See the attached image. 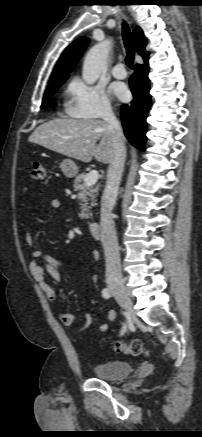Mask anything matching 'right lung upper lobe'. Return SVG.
Segmentation results:
<instances>
[{
    "label": "right lung upper lobe",
    "mask_w": 202,
    "mask_h": 437,
    "mask_svg": "<svg viewBox=\"0 0 202 437\" xmlns=\"http://www.w3.org/2000/svg\"><path fill=\"white\" fill-rule=\"evenodd\" d=\"M133 37L135 49L143 57L144 60L147 59L149 53L145 50L147 40L144 37L143 31L140 28H138V30H134ZM88 42L89 40L87 37H81L75 40L66 48L55 66V69L50 78V84L68 78V74L72 71L76 63L79 61Z\"/></svg>",
    "instance_id": "right-lung-upper-lobe-1"
}]
</instances>
